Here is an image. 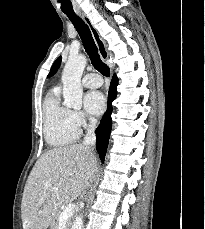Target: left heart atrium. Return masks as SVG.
Instances as JSON below:
<instances>
[{
	"instance_id": "39dd6f15",
	"label": "left heart atrium",
	"mask_w": 205,
	"mask_h": 229,
	"mask_svg": "<svg viewBox=\"0 0 205 229\" xmlns=\"http://www.w3.org/2000/svg\"><path fill=\"white\" fill-rule=\"evenodd\" d=\"M86 110L95 116L101 115L106 107L104 95L99 91H90L84 97Z\"/></svg>"
}]
</instances>
